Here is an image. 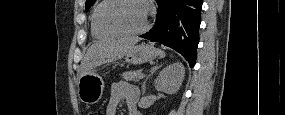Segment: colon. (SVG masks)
Returning a JSON list of instances; mask_svg holds the SVG:
<instances>
[{"label": "colon", "mask_w": 285, "mask_h": 115, "mask_svg": "<svg viewBox=\"0 0 285 115\" xmlns=\"http://www.w3.org/2000/svg\"><path fill=\"white\" fill-rule=\"evenodd\" d=\"M97 113L96 112H94V111H89L88 112V115H96Z\"/></svg>", "instance_id": "5ec220e1"}]
</instances>
